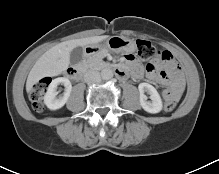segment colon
<instances>
[{"label": "colon", "instance_id": "1", "mask_svg": "<svg viewBox=\"0 0 219 174\" xmlns=\"http://www.w3.org/2000/svg\"><path fill=\"white\" fill-rule=\"evenodd\" d=\"M136 55L141 61H146L155 57L157 55V50L149 41L138 40ZM50 83L51 78L45 77L33 86L30 93V100L36 111H42L44 109L43 97ZM175 106V102L166 101L163 108L166 112H171L175 109Z\"/></svg>", "mask_w": 219, "mask_h": 174}]
</instances>
